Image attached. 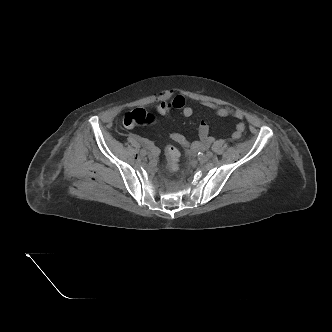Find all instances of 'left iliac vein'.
Here are the masks:
<instances>
[{"instance_id":"4c4485c4","label":"left iliac vein","mask_w":332,"mask_h":332,"mask_svg":"<svg viewBox=\"0 0 332 332\" xmlns=\"http://www.w3.org/2000/svg\"><path fill=\"white\" fill-rule=\"evenodd\" d=\"M208 159L209 158L206 155H200L198 157L199 162L202 163V164L206 163L208 161Z\"/></svg>"}]
</instances>
